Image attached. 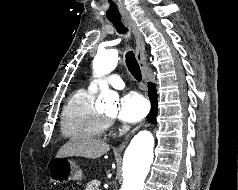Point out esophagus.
<instances>
[{"mask_svg": "<svg viewBox=\"0 0 238 190\" xmlns=\"http://www.w3.org/2000/svg\"><path fill=\"white\" fill-rule=\"evenodd\" d=\"M124 24L128 27V29L133 33L135 41H136V49H135V55L136 59L138 61V64L140 66L142 76L145 81H147V60L145 55V42L142 33L140 32L139 28L137 27L136 23L131 18H124L123 19ZM145 122L139 124L137 127H135L133 130H131L125 137L123 142L118 146V151H122L129 141V139L132 137V135L138 131Z\"/></svg>", "mask_w": 238, "mask_h": 190, "instance_id": "esophagus-1", "label": "esophagus"}]
</instances>
